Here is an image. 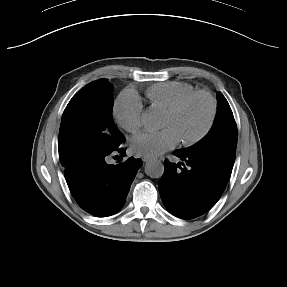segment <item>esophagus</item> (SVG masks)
Wrapping results in <instances>:
<instances>
[{"instance_id":"esophagus-1","label":"esophagus","mask_w":287,"mask_h":287,"mask_svg":"<svg viewBox=\"0 0 287 287\" xmlns=\"http://www.w3.org/2000/svg\"><path fill=\"white\" fill-rule=\"evenodd\" d=\"M150 160H152L151 157H146V156L143 157V161H144V162H148V161H150Z\"/></svg>"}]
</instances>
